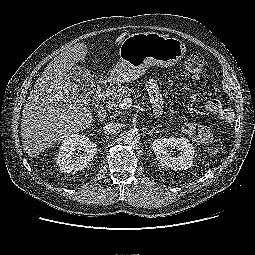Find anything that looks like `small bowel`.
Wrapping results in <instances>:
<instances>
[{
	"label": "small bowel",
	"mask_w": 255,
	"mask_h": 255,
	"mask_svg": "<svg viewBox=\"0 0 255 255\" xmlns=\"http://www.w3.org/2000/svg\"><path fill=\"white\" fill-rule=\"evenodd\" d=\"M146 89L148 91L150 101L152 104V107L155 111L156 114L160 115L162 113V99H161V94H160V89L157 84V82L153 79H149L146 82ZM211 100L207 104V108L211 111L221 109L220 103H218L215 107L210 106Z\"/></svg>",
	"instance_id": "c3829d8e"
}]
</instances>
